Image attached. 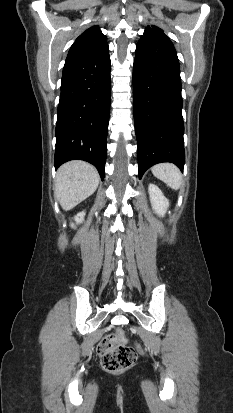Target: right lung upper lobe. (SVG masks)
Listing matches in <instances>:
<instances>
[{"instance_id":"right-lung-upper-lobe-1","label":"right lung upper lobe","mask_w":233,"mask_h":413,"mask_svg":"<svg viewBox=\"0 0 233 413\" xmlns=\"http://www.w3.org/2000/svg\"><path fill=\"white\" fill-rule=\"evenodd\" d=\"M107 38L98 26L84 31L71 46L68 55L95 49L106 44Z\"/></svg>"}]
</instances>
